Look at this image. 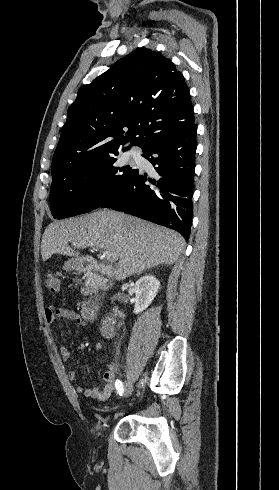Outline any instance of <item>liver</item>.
Returning <instances> with one entry per match:
<instances>
[{
  "label": "liver",
  "mask_w": 279,
  "mask_h": 490,
  "mask_svg": "<svg viewBox=\"0 0 279 490\" xmlns=\"http://www.w3.org/2000/svg\"><path fill=\"white\" fill-rule=\"evenodd\" d=\"M185 244L184 238L174 230L122 212L100 210L81 218L49 224L42 236L41 256L43 262L53 254L73 256L81 272L87 258L78 250L91 246L103 250L104 254L111 252L117 256L115 278L126 280L159 264H175Z\"/></svg>",
  "instance_id": "1"
}]
</instances>
